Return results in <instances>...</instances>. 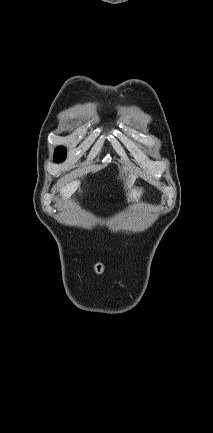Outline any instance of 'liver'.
<instances>
[{
  "label": "liver",
  "instance_id": "liver-1",
  "mask_svg": "<svg viewBox=\"0 0 213 433\" xmlns=\"http://www.w3.org/2000/svg\"><path fill=\"white\" fill-rule=\"evenodd\" d=\"M134 181V177L133 176H129L126 181H125V187L129 188L132 186ZM78 185V181H73L70 184H67L62 190H61V195L62 197L67 200L70 198V196L72 195V193L75 191L76 187Z\"/></svg>",
  "mask_w": 213,
  "mask_h": 433
}]
</instances>
